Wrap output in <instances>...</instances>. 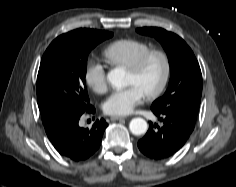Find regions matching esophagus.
<instances>
[{"instance_id":"esophagus-1","label":"esophagus","mask_w":236,"mask_h":187,"mask_svg":"<svg viewBox=\"0 0 236 187\" xmlns=\"http://www.w3.org/2000/svg\"><path fill=\"white\" fill-rule=\"evenodd\" d=\"M124 119H126V117H124V116H112V117H111V120H112V121L124 120Z\"/></svg>"}]
</instances>
